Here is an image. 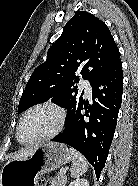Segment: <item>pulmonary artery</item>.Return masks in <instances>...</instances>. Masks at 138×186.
Returning <instances> with one entry per match:
<instances>
[{
	"label": "pulmonary artery",
	"instance_id": "obj_1",
	"mask_svg": "<svg viewBox=\"0 0 138 186\" xmlns=\"http://www.w3.org/2000/svg\"><path fill=\"white\" fill-rule=\"evenodd\" d=\"M81 87L85 90V93L87 96L91 95L92 88H91L90 82L88 80H86V79L82 80Z\"/></svg>",
	"mask_w": 138,
	"mask_h": 186
}]
</instances>
